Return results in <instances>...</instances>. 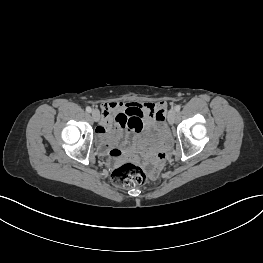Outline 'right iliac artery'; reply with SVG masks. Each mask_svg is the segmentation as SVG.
I'll return each instance as SVG.
<instances>
[{
  "label": "right iliac artery",
  "instance_id": "obj_1",
  "mask_svg": "<svg viewBox=\"0 0 263 263\" xmlns=\"http://www.w3.org/2000/svg\"><path fill=\"white\" fill-rule=\"evenodd\" d=\"M86 111L88 112V113H91L92 112V109H91V107H86Z\"/></svg>",
  "mask_w": 263,
  "mask_h": 263
}]
</instances>
